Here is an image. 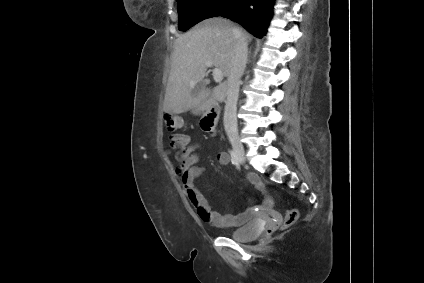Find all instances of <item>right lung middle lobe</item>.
<instances>
[{
	"mask_svg": "<svg viewBox=\"0 0 424 283\" xmlns=\"http://www.w3.org/2000/svg\"><path fill=\"white\" fill-rule=\"evenodd\" d=\"M235 0H177L178 29L186 31L198 22L220 16L226 12Z\"/></svg>",
	"mask_w": 424,
	"mask_h": 283,
	"instance_id": "right-lung-middle-lobe-1",
	"label": "right lung middle lobe"
}]
</instances>
